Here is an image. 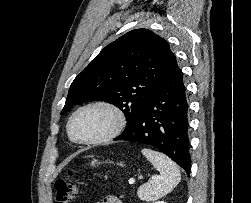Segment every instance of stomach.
I'll list each match as a JSON object with an SVG mask.
<instances>
[{
  "instance_id": "obj_1",
  "label": "stomach",
  "mask_w": 251,
  "mask_h": 203,
  "mask_svg": "<svg viewBox=\"0 0 251 203\" xmlns=\"http://www.w3.org/2000/svg\"><path fill=\"white\" fill-rule=\"evenodd\" d=\"M95 164H96V162H95V161H93V162L91 163V165H92V166H95ZM118 165H119V166H123V164H122V163H119Z\"/></svg>"
}]
</instances>
